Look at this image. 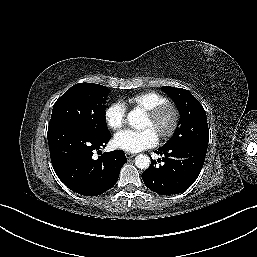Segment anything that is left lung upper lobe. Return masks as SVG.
I'll list each match as a JSON object with an SVG mask.
<instances>
[{"mask_svg":"<svg viewBox=\"0 0 257 257\" xmlns=\"http://www.w3.org/2000/svg\"><path fill=\"white\" fill-rule=\"evenodd\" d=\"M162 90L172 98L180 112L178 126L163 147L192 145L207 149L209 130L203 106L188 90L171 86H163Z\"/></svg>","mask_w":257,"mask_h":257,"instance_id":"1","label":"left lung upper lobe"}]
</instances>
